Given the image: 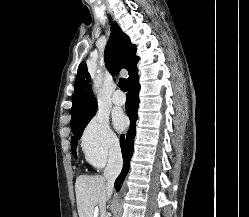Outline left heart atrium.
Returning a JSON list of instances; mask_svg holds the SVG:
<instances>
[{
  "label": "left heart atrium",
  "mask_w": 249,
  "mask_h": 217,
  "mask_svg": "<svg viewBox=\"0 0 249 217\" xmlns=\"http://www.w3.org/2000/svg\"><path fill=\"white\" fill-rule=\"evenodd\" d=\"M114 124L118 130L123 131L128 125V120L124 115L119 114L115 116Z\"/></svg>",
  "instance_id": "obj_1"
}]
</instances>
